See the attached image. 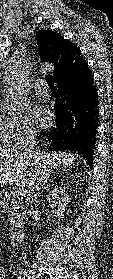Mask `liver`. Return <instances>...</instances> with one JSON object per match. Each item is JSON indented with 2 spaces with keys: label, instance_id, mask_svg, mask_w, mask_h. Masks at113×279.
I'll return each instance as SVG.
<instances>
[{
  "label": "liver",
  "instance_id": "obj_1",
  "mask_svg": "<svg viewBox=\"0 0 113 279\" xmlns=\"http://www.w3.org/2000/svg\"><path fill=\"white\" fill-rule=\"evenodd\" d=\"M75 156L66 153L24 155L16 147L0 148V186L27 185L30 173L48 172L54 168L74 164Z\"/></svg>",
  "mask_w": 113,
  "mask_h": 279
}]
</instances>
